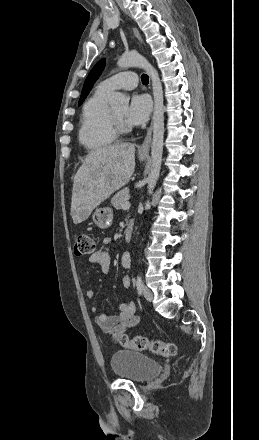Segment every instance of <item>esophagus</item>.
Segmentation results:
<instances>
[{
	"label": "esophagus",
	"mask_w": 259,
	"mask_h": 440,
	"mask_svg": "<svg viewBox=\"0 0 259 440\" xmlns=\"http://www.w3.org/2000/svg\"><path fill=\"white\" fill-rule=\"evenodd\" d=\"M134 32H135V35L138 38V40L142 43V38H141L139 31L137 29H134ZM151 140H152V125L149 127V129L147 131V135H146L143 143L139 147V154L146 155L149 153L150 146H151Z\"/></svg>",
	"instance_id": "esophagus-1"
}]
</instances>
